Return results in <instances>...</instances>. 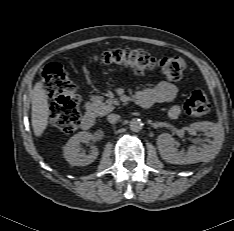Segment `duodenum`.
Returning a JSON list of instances; mask_svg holds the SVG:
<instances>
[{
    "mask_svg": "<svg viewBox=\"0 0 234 231\" xmlns=\"http://www.w3.org/2000/svg\"><path fill=\"white\" fill-rule=\"evenodd\" d=\"M135 101L137 103V105H139L140 107H143V108H148L151 106V103L149 100L143 98L142 96L140 95H136L135 96ZM95 124V116L92 112H87L84 114V116L82 117V120H81V126L84 130H89L91 129Z\"/></svg>",
    "mask_w": 234,
    "mask_h": 231,
    "instance_id": "410a0bca",
    "label": "duodenum"
}]
</instances>
